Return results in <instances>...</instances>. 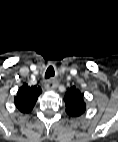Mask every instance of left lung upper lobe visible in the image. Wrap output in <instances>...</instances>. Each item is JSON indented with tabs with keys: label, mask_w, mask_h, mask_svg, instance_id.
Wrapping results in <instances>:
<instances>
[{
	"label": "left lung upper lobe",
	"mask_w": 118,
	"mask_h": 142,
	"mask_svg": "<svg viewBox=\"0 0 118 142\" xmlns=\"http://www.w3.org/2000/svg\"><path fill=\"white\" fill-rule=\"evenodd\" d=\"M64 101L66 105V112L72 117H78L86 111L83 94L80 90L75 88V86L69 88L65 93Z\"/></svg>",
	"instance_id": "1"
}]
</instances>
